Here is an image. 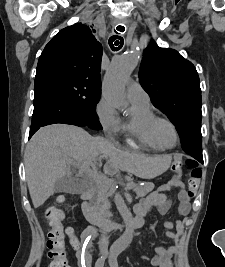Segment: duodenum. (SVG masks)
Returning <instances> with one entry per match:
<instances>
[{"mask_svg":"<svg viewBox=\"0 0 225 267\" xmlns=\"http://www.w3.org/2000/svg\"><path fill=\"white\" fill-rule=\"evenodd\" d=\"M86 199H88V197H86ZM82 210L85 218L88 221L104 230L117 229L120 227H125L126 229H137L143 224V219L140 217L127 219L122 225L115 224L100 213L95 201H84Z\"/></svg>","mask_w":225,"mask_h":267,"instance_id":"410a0bca","label":"duodenum"}]
</instances>
